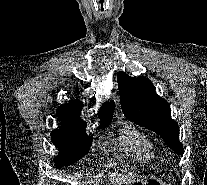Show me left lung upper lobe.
Segmentation results:
<instances>
[{"instance_id": "obj_1", "label": "left lung upper lobe", "mask_w": 207, "mask_h": 185, "mask_svg": "<svg viewBox=\"0 0 207 185\" xmlns=\"http://www.w3.org/2000/svg\"><path fill=\"white\" fill-rule=\"evenodd\" d=\"M117 81L124 115L160 135L172 150L183 155L178 123L172 120L169 104L157 95L152 82L146 77L133 78L124 72L118 73Z\"/></svg>"}]
</instances>
